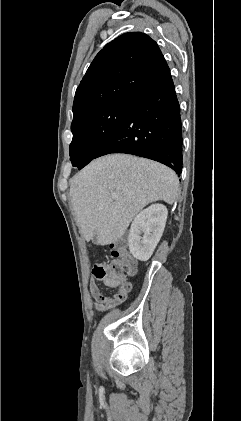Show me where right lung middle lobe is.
I'll use <instances>...</instances> for the list:
<instances>
[{
	"mask_svg": "<svg viewBox=\"0 0 241 421\" xmlns=\"http://www.w3.org/2000/svg\"><path fill=\"white\" fill-rule=\"evenodd\" d=\"M129 100L118 101L91 111L71 124L72 165L79 169L93 160L121 125Z\"/></svg>",
	"mask_w": 241,
	"mask_h": 421,
	"instance_id": "1",
	"label": "right lung middle lobe"
}]
</instances>
